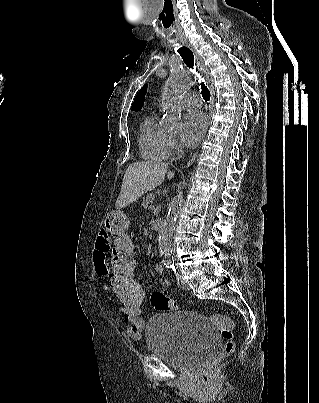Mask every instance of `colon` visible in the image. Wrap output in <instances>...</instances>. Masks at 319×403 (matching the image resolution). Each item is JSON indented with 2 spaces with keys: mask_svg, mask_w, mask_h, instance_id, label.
I'll return each mask as SVG.
<instances>
[{
  "mask_svg": "<svg viewBox=\"0 0 319 403\" xmlns=\"http://www.w3.org/2000/svg\"><path fill=\"white\" fill-rule=\"evenodd\" d=\"M115 250L112 252L110 267L113 270V287L108 291H113V300L116 304L123 305L124 313H145L144 295L146 282H136L134 278V268L138 267L137 252L138 240L134 234H115ZM150 303L153 308L161 313L176 311L178 304L175 300L166 296L163 291H154L150 296ZM222 335L226 342L221 347L218 355L211 361L205 374L204 381L209 382L211 375L215 372L221 359L231 355L235 349L233 334L230 329L223 328Z\"/></svg>",
  "mask_w": 319,
  "mask_h": 403,
  "instance_id": "5ec220e1",
  "label": "colon"
}]
</instances>
